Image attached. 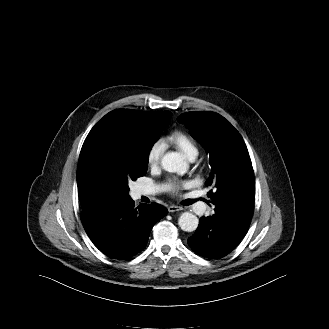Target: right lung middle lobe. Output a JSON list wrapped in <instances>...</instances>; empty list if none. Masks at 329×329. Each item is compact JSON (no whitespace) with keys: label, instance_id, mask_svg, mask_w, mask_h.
I'll return each mask as SVG.
<instances>
[{"label":"right lung middle lobe","instance_id":"1","mask_svg":"<svg viewBox=\"0 0 329 329\" xmlns=\"http://www.w3.org/2000/svg\"><path fill=\"white\" fill-rule=\"evenodd\" d=\"M169 120L159 119L144 131L130 130L115 118L105 122L106 139L79 158L77 185L82 208L130 197L128 181L146 174L150 149Z\"/></svg>","mask_w":329,"mask_h":329}]
</instances>
